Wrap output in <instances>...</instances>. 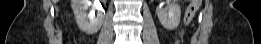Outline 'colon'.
<instances>
[{
    "mask_svg": "<svg viewBox=\"0 0 261 44\" xmlns=\"http://www.w3.org/2000/svg\"><path fill=\"white\" fill-rule=\"evenodd\" d=\"M201 4V0H190L189 6L186 10L185 16H184V28L180 31V36H184L187 27L190 25L191 21L193 20V17L199 8Z\"/></svg>",
    "mask_w": 261,
    "mask_h": 44,
    "instance_id": "5ec220e1",
    "label": "colon"
}]
</instances>
